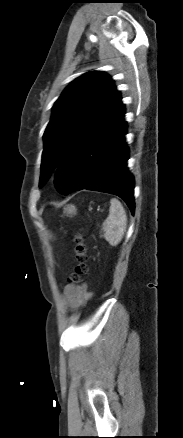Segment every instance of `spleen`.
<instances>
[{
	"label": "spleen",
	"instance_id": "1",
	"mask_svg": "<svg viewBox=\"0 0 183 438\" xmlns=\"http://www.w3.org/2000/svg\"><path fill=\"white\" fill-rule=\"evenodd\" d=\"M127 225V215L121 202L110 200L109 215L103 222V237L111 246H117L123 238Z\"/></svg>",
	"mask_w": 183,
	"mask_h": 438
}]
</instances>
